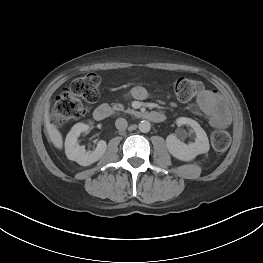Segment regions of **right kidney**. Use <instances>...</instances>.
<instances>
[{
  "instance_id": "obj_1",
  "label": "right kidney",
  "mask_w": 263,
  "mask_h": 263,
  "mask_svg": "<svg viewBox=\"0 0 263 263\" xmlns=\"http://www.w3.org/2000/svg\"><path fill=\"white\" fill-rule=\"evenodd\" d=\"M89 129V125L85 123H76L67 134L65 139V153L69 160L76 161L82 166H89L98 161L105 153L107 144L104 140L97 143L94 151L86 152L85 146H80L77 139L82 132Z\"/></svg>"
}]
</instances>
